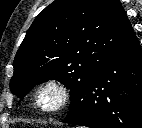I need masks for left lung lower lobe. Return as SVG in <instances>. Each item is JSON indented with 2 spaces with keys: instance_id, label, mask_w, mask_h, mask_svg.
Instances as JSON below:
<instances>
[{
  "instance_id": "left-lung-lower-lobe-1",
  "label": "left lung lower lobe",
  "mask_w": 142,
  "mask_h": 128,
  "mask_svg": "<svg viewBox=\"0 0 142 128\" xmlns=\"http://www.w3.org/2000/svg\"><path fill=\"white\" fill-rule=\"evenodd\" d=\"M63 122L89 128H142V48L136 35L109 54Z\"/></svg>"
}]
</instances>
